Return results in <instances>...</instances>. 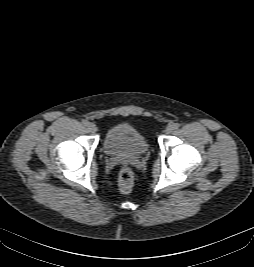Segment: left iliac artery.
<instances>
[{"label":"left iliac artery","mask_w":254,"mask_h":267,"mask_svg":"<svg viewBox=\"0 0 254 267\" xmlns=\"http://www.w3.org/2000/svg\"><path fill=\"white\" fill-rule=\"evenodd\" d=\"M174 127H175V129H178L180 127V124L179 123H175Z\"/></svg>","instance_id":"44dca946"}]
</instances>
